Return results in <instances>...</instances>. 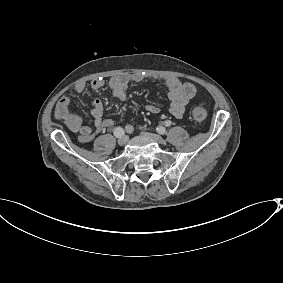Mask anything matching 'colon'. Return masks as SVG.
Wrapping results in <instances>:
<instances>
[{"label":"colon","mask_w":283,"mask_h":283,"mask_svg":"<svg viewBox=\"0 0 283 283\" xmlns=\"http://www.w3.org/2000/svg\"><path fill=\"white\" fill-rule=\"evenodd\" d=\"M192 116L195 120L201 121L207 116V109L202 105H196L192 110Z\"/></svg>","instance_id":"1"}]
</instances>
